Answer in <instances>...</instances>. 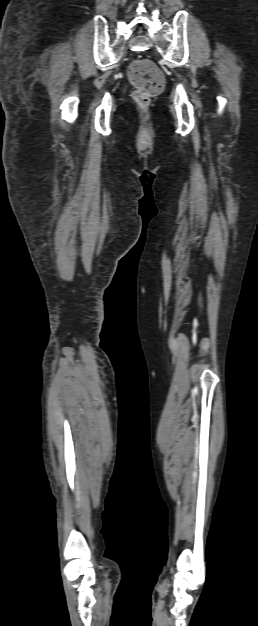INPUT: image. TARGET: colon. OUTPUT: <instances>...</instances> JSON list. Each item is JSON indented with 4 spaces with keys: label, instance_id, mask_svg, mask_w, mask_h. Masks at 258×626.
Masks as SVG:
<instances>
[{
    "label": "colon",
    "instance_id": "obj_1",
    "mask_svg": "<svg viewBox=\"0 0 258 626\" xmlns=\"http://www.w3.org/2000/svg\"><path fill=\"white\" fill-rule=\"evenodd\" d=\"M129 78L135 87L133 100L144 108L162 91L165 83L161 70L149 59L135 60L130 66Z\"/></svg>",
    "mask_w": 258,
    "mask_h": 626
}]
</instances>
